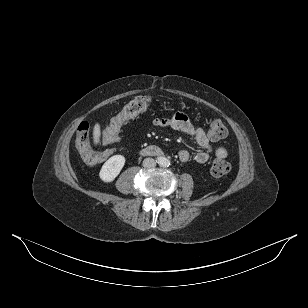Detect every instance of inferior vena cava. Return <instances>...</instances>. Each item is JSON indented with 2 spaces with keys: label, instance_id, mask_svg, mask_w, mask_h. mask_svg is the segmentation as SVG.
Listing matches in <instances>:
<instances>
[{
  "label": "inferior vena cava",
  "instance_id": "602c4592",
  "mask_svg": "<svg viewBox=\"0 0 308 308\" xmlns=\"http://www.w3.org/2000/svg\"><path fill=\"white\" fill-rule=\"evenodd\" d=\"M143 166L145 168H154L156 166V161L153 158H145L143 160Z\"/></svg>",
  "mask_w": 308,
  "mask_h": 308
}]
</instances>
